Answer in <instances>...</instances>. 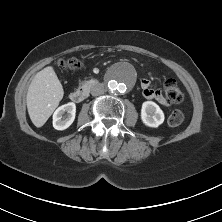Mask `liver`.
Wrapping results in <instances>:
<instances>
[{
  "label": "liver",
  "mask_w": 222,
  "mask_h": 222,
  "mask_svg": "<svg viewBox=\"0 0 222 222\" xmlns=\"http://www.w3.org/2000/svg\"><path fill=\"white\" fill-rule=\"evenodd\" d=\"M64 90L53 67L39 71L31 81L26 103L28 114L36 127H42L59 105Z\"/></svg>",
  "instance_id": "1"
}]
</instances>
